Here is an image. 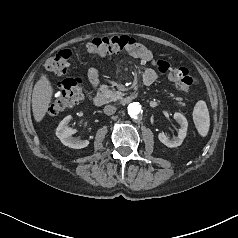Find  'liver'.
Segmentation results:
<instances>
[{
    "label": "liver",
    "mask_w": 238,
    "mask_h": 238,
    "mask_svg": "<svg viewBox=\"0 0 238 238\" xmlns=\"http://www.w3.org/2000/svg\"><path fill=\"white\" fill-rule=\"evenodd\" d=\"M53 96V87L45 74L36 82L32 94V111L36 122H40L46 112Z\"/></svg>",
    "instance_id": "1"
}]
</instances>
